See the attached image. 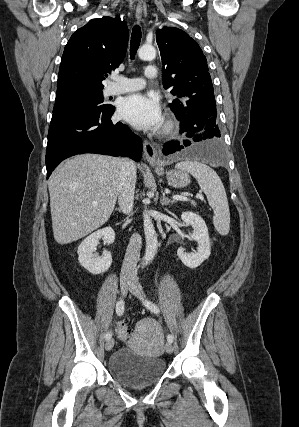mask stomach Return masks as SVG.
Listing matches in <instances>:
<instances>
[{
    "instance_id": "1",
    "label": "stomach",
    "mask_w": 299,
    "mask_h": 427,
    "mask_svg": "<svg viewBox=\"0 0 299 427\" xmlns=\"http://www.w3.org/2000/svg\"><path fill=\"white\" fill-rule=\"evenodd\" d=\"M155 171L158 175L164 174L160 166L156 167ZM166 179L168 184L174 188H184L190 183L189 174L182 170H170L166 172Z\"/></svg>"
}]
</instances>
